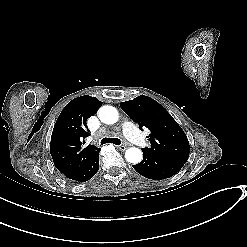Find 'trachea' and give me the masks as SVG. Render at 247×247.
Here are the masks:
<instances>
[{
  "label": "trachea",
  "mask_w": 247,
  "mask_h": 247,
  "mask_svg": "<svg viewBox=\"0 0 247 247\" xmlns=\"http://www.w3.org/2000/svg\"><path fill=\"white\" fill-rule=\"evenodd\" d=\"M107 143H112L114 145H120L121 141L118 138H103L101 140V145L107 144Z\"/></svg>",
  "instance_id": "trachea-1"
}]
</instances>
